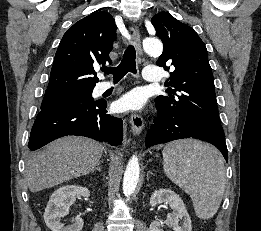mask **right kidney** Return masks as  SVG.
<instances>
[{
	"mask_svg": "<svg viewBox=\"0 0 261 231\" xmlns=\"http://www.w3.org/2000/svg\"><path fill=\"white\" fill-rule=\"evenodd\" d=\"M76 196L88 198L90 191L86 187L76 185H66L57 189L50 197L44 212V220L51 231H81L83 220L75 217L72 224L64 226L61 218L64 217L69 207L76 201Z\"/></svg>",
	"mask_w": 261,
	"mask_h": 231,
	"instance_id": "right-kidney-1",
	"label": "right kidney"
}]
</instances>
